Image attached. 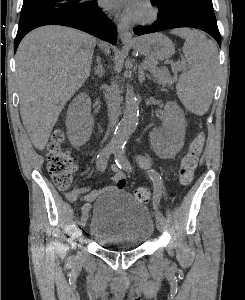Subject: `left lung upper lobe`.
<instances>
[{
	"mask_svg": "<svg viewBox=\"0 0 245 300\" xmlns=\"http://www.w3.org/2000/svg\"><path fill=\"white\" fill-rule=\"evenodd\" d=\"M151 2L156 4L162 13L168 11L175 4H192L214 10L212 0H151Z\"/></svg>",
	"mask_w": 245,
	"mask_h": 300,
	"instance_id": "1",
	"label": "left lung upper lobe"
}]
</instances>
